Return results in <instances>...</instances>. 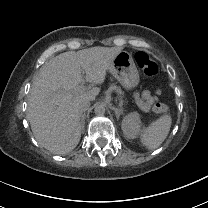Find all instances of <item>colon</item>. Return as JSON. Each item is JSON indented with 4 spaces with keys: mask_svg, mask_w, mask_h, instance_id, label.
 I'll list each match as a JSON object with an SVG mask.
<instances>
[{
    "mask_svg": "<svg viewBox=\"0 0 208 208\" xmlns=\"http://www.w3.org/2000/svg\"><path fill=\"white\" fill-rule=\"evenodd\" d=\"M136 63L143 73L150 78H153L157 75L158 69L155 62L151 57L145 52H137L135 56ZM153 111L157 113H165L168 111L167 106L163 104H156L153 106Z\"/></svg>",
    "mask_w": 208,
    "mask_h": 208,
    "instance_id": "colon-1",
    "label": "colon"
}]
</instances>
